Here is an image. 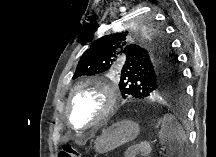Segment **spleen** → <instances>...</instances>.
<instances>
[{
  "label": "spleen",
  "instance_id": "spleen-1",
  "mask_svg": "<svg viewBox=\"0 0 216 157\" xmlns=\"http://www.w3.org/2000/svg\"><path fill=\"white\" fill-rule=\"evenodd\" d=\"M160 143L165 145L170 152L177 151L179 155H184V143L187 137L183 127L178 123L173 115L164 116L161 130L159 132Z\"/></svg>",
  "mask_w": 216,
  "mask_h": 157
}]
</instances>
